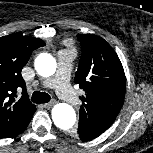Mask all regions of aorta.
Returning <instances> with one entry per match:
<instances>
[{
	"label": "aorta",
	"mask_w": 153,
	"mask_h": 153,
	"mask_svg": "<svg viewBox=\"0 0 153 153\" xmlns=\"http://www.w3.org/2000/svg\"><path fill=\"white\" fill-rule=\"evenodd\" d=\"M35 69L43 77L52 76L56 71V61L48 53H42L35 59ZM54 124L62 130L72 128L76 122L75 110L66 103H58L52 109Z\"/></svg>",
	"instance_id": "aorta-1"
}]
</instances>
